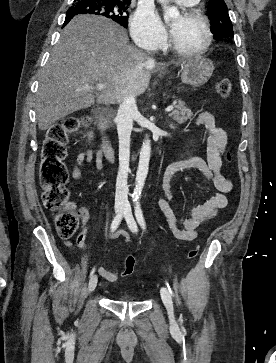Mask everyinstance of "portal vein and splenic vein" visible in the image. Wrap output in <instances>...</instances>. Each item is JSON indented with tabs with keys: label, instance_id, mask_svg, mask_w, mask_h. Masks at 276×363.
I'll return each mask as SVG.
<instances>
[{
	"label": "portal vein and splenic vein",
	"instance_id": "portal-vein-and-splenic-vein-1",
	"mask_svg": "<svg viewBox=\"0 0 276 363\" xmlns=\"http://www.w3.org/2000/svg\"><path fill=\"white\" fill-rule=\"evenodd\" d=\"M106 84H97L96 86H93V87H90V88H92V89H97V90H103V89H105L106 88ZM174 109V106L173 105H170V106H168L166 109H165V111L166 112H171L172 110Z\"/></svg>",
	"mask_w": 276,
	"mask_h": 363
}]
</instances>
